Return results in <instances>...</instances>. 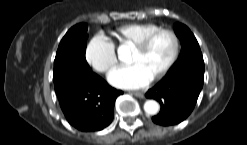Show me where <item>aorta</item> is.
<instances>
[{
	"instance_id": "762f6f07",
	"label": "aorta",
	"mask_w": 247,
	"mask_h": 145,
	"mask_svg": "<svg viewBox=\"0 0 247 145\" xmlns=\"http://www.w3.org/2000/svg\"><path fill=\"white\" fill-rule=\"evenodd\" d=\"M144 110L149 115H155L159 111V104L155 100H147L144 103Z\"/></svg>"
}]
</instances>
